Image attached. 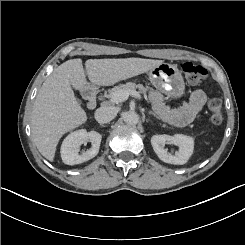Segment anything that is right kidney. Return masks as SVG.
<instances>
[{
  "label": "right kidney",
  "mask_w": 245,
  "mask_h": 245,
  "mask_svg": "<svg viewBox=\"0 0 245 245\" xmlns=\"http://www.w3.org/2000/svg\"><path fill=\"white\" fill-rule=\"evenodd\" d=\"M102 136L96 131L87 132L80 129L70 133L61 146V158L67 165L80 164L95 157L99 152ZM91 142V148L82 150L79 154L80 146Z\"/></svg>",
  "instance_id": "ca27d5eb"
}]
</instances>
